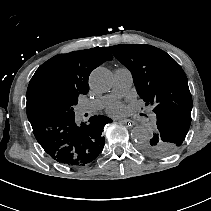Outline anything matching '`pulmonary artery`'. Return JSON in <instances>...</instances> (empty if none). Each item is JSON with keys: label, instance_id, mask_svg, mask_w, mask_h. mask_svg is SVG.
<instances>
[{"label": "pulmonary artery", "instance_id": "e3ab8cb5", "mask_svg": "<svg viewBox=\"0 0 211 211\" xmlns=\"http://www.w3.org/2000/svg\"><path fill=\"white\" fill-rule=\"evenodd\" d=\"M114 85L112 89L113 96L124 95L133 84V75L127 67H119L114 70ZM110 96L86 101L78 105V110L81 114H92L104 108L110 101ZM146 116L149 120L154 121L158 118L159 113L156 109L151 108L147 111Z\"/></svg>", "mask_w": 211, "mask_h": 211}]
</instances>
